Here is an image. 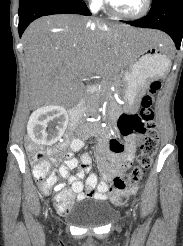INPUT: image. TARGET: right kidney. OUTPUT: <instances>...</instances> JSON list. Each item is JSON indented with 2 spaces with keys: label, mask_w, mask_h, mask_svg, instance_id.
Returning a JSON list of instances; mask_svg holds the SVG:
<instances>
[{
  "label": "right kidney",
  "mask_w": 183,
  "mask_h": 246,
  "mask_svg": "<svg viewBox=\"0 0 183 246\" xmlns=\"http://www.w3.org/2000/svg\"><path fill=\"white\" fill-rule=\"evenodd\" d=\"M68 124L66 110L58 105H49L34 111L28 121L27 132L31 140L37 144L55 143L64 133ZM48 126H55V130Z\"/></svg>",
  "instance_id": "right-kidney-1"
}]
</instances>
